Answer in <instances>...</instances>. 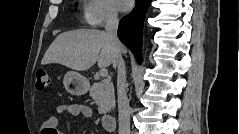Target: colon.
<instances>
[{
  "instance_id": "obj_1",
  "label": "colon",
  "mask_w": 239,
  "mask_h": 134,
  "mask_svg": "<svg viewBox=\"0 0 239 134\" xmlns=\"http://www.w3.org/2000/svg\"><path fill=\"white\" fill-rule=\"evenodd\" d=\"M52 86V78L51 76L41 70L38 71L36 74V88L38 91H46L48 89H50Z\"/></svg>"
}]
</instances>
